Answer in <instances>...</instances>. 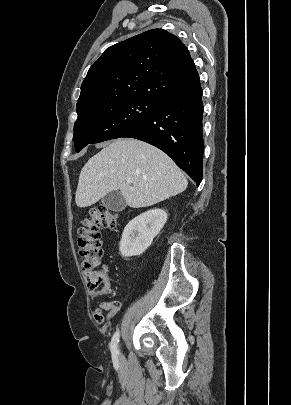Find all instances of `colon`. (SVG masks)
<instances>
[{
	"label": "colon",
	"mask_w": 291,
	"mask_h": 405,
	"mask_svg": "<svg viewBox=\"0 0 291 405\" xmlns=\"http://www.w3.org/2000/svg\"><path fill=\"white\" fill-rule=\"evenodd\" d=\"M117 224V216L105 207L90 211L78 230L79 255L85 274L87 287L93 296H105L111 291V275L106 267L99 269L102 258V229H112Z\"/></svg>",
	"instance_id": "5ec220e1"
}]
</instances>
